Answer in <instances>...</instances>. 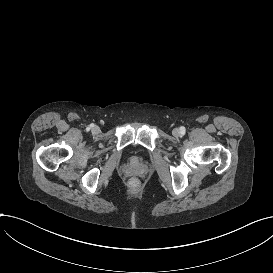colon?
Masks as SVG:
<instances>
[{
    "mask_svg": "<svg viewBox=\"0 0 273 273\" xmlns=\"http://www.w3.org/2000/svg\"><path fill=\"white\" fill-rule=\"evenodd\" d=\"M140 186H141V181H140V179H138L136 177L131 178L128 182V188L131 191H134V192L139 191Z\"/></svg>",
    "mask_w": 273,
    "mask_h": 273,
    "instance_id": "obj_1",
    "label": "colon"
}]
</instances>
